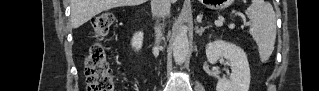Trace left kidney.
Segmentation results:
<instances>
[{
	"label": "left kidney",
	"mask_w": 319,
	"mask_h": 91,
	"mask_svg": "<svg viewBox=\"0 0 319 91\" xmlns=\"http://www.w3.org/2000/svg\"><path fill=\"white\" fill-rule=\"evenodd\" d=\"M206 56L211 64L224 57L230 61L232 74L230 79L220 78L216 91H248L250 86V68L245 52L237 45L224 40L209 42Z\"/></svg>",
	"instance_id": "1"
}]
</instances>
